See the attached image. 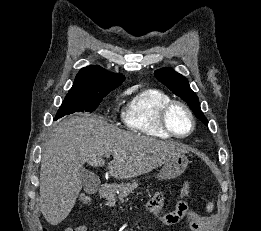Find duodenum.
<instances>
[{
    "instance_id": "duodenum-1",
    "label": "duodenum",
    "mask_w": 261,
    "mask_h": 231,
    "mask_svg": "<svg viewBox=\"0 0 261 231\" xmlns=\"http://www.w3.org/2000/svg\"><path fill=\"white\" fill-rule=\"evenodd\" d=\"M112 187L109 185H102L98 191V194L101 198L107 197L112 192Z\"/></svg>"
}]
</instances>
